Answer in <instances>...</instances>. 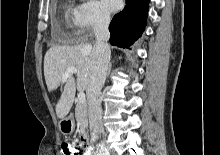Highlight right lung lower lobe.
Wrapping results in <instances>:
<instances>
[{
  "label": "right lung lower lobe",
  "instance_id": "98d812e1",
  "mask_svg": "<svg viewBox=\"0 0 220 155\" xmlns=\"http://www.w3.org/2000/svg\"><path fill=\"white\" fill-rule=\"evenodd\" d=\"M149 0H126L125 8L116 14L110 25V43L129 48L141 36L146 26Z\"/></svg>",
  "mask_w": 220,
  "mask_h": 155
}]
</instances>
